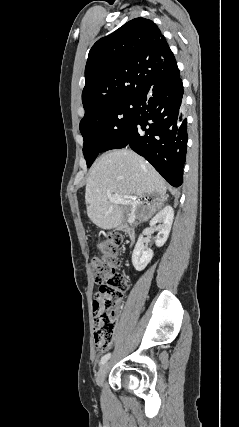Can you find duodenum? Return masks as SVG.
<instances>
[{"instance_id":"duodenum-1","label":"duodenum","mask_w":239,"mask_h":427,"mask_svg":"<svg viewBox=\"0 0 239 427\" xmlns=\"http://www.w3.org/2000/svg\"><path fill=\"white\" fill-rule=\"evenodd\" d=\"M123 232L127 235L128 239L132 242L134 240L135 231L132 227H122Z\"/></svg>"}]
</instances>
